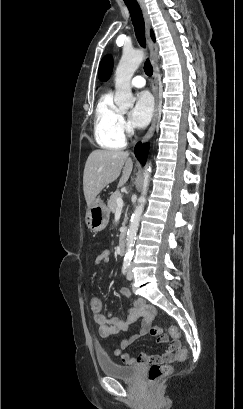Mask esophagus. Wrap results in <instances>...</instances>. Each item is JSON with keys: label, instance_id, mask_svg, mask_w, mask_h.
Masks as SVG:
<instances>
[{"label": "esophagus", "instance_id": "esophagus-1", "mask_svg": "<svg viewBox=\"0 0 243 409\" xmlns=\"http://www.w3.org/2000/svg\"><path fill=\"white\" fill-rule=\"evenodd\" d=\"M138 3L140 5V8L143 14V18H144V22H145L146 40H147V44L150 50V58H151V63H152L153 70H154L153 76L151 79V88H152V92H153L154 99H155V108H154V114H153L150 128L148 129L146 135L142 139V142H146L153 136L155 128H156L157 118H158L159 98H158L157 71H156V64L158 61V46L156 43L152 41V38L150 36L151 20L148 14L147 6L143 0H138Z\"/></svg>", "mask_w": 243, "mask_h": 409}]
</instances>
